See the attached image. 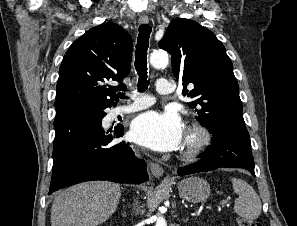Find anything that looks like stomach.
I'll return each mask as SVG.
<instances>
[{
  "instance_id": "stomach-1",
  "label": "stomach",
  "mask_w": 297,
  "mask_h": 226,
  "mask_svg": "<svg viewBox=\"0 0 297 226\" xmlns=\"http://www.w3.org/2000/svg\"><path fill=\"white\" fill-rule=\"evenodd\" d=\"M177 188L180 197L194 203L207 199L211 192L209 183L196 176L180 181Z\"/></svg>"
}]
</instances>
